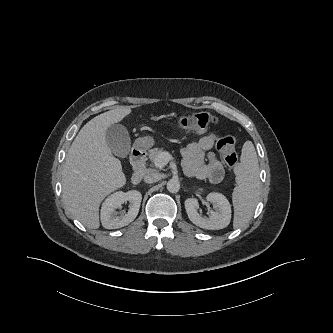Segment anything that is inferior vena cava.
Wrapping results in <instances>:
<instances>
[{"instance_id": "obj_1", "label": "inferior vena cava", "mask_w": 333, "mask_h": 333, "mask_svg": "<svg viewBox=\"0 0 333 333\" xmlns=\"http://www.w3.org/2000/svg\"><path fill=\"white\" fill-rule=\"evenodd\" d=\"M162 175L157 172H149L147 175L144 177V181L146 183H154L162 179Z\"/></svg>"}]
</instances>
